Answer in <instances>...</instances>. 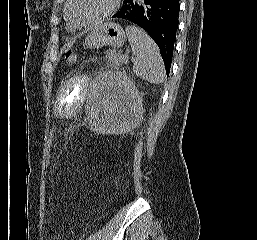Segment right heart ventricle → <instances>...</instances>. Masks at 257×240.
<instances>
[{
	"label": "right heart ventricle",
	"mask_w": 257,
	"mask_h": 240,
	"mask_svg": "<svg viewBox=\"0 0 257 240\" xmlns=\"http://www.w3.org/2000/svg\"><path fill=\"white\" fill-rule=\"evenodd\" d=\"M66 27L69 31H74L75 28L68 22V20L66 19Z\"/></svg>",
	"instance_id": "1"
}]
</instances>
